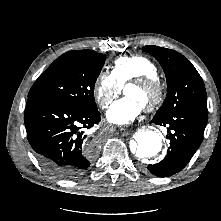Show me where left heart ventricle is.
<instances>
[{
  "instance_id": "left-heart-ventricle-1",
  "label": "left heart ventricle",
  "mask_w": 221,
  "mask_h": 221,
  "mask_svg": "<svg viewBox=\"0 0 221 221\" xmlns=\"http://www.w3.org/2000/svg\"><path fill=\"white\" fill-rule=\"evenodd\" d=\"M126 96L137 99L143 105L152 98V93L149 90L144 88H139L133 85H130L125 88Z\"/></svg>"
}]
</instances>
